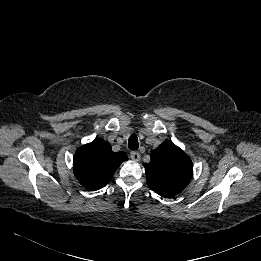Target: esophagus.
Returning a JSON list of instances; mask_svg holds the SVG:
<instances>
[{
  "instance_id": "1",
  "label": "esophagus",
  "mask_w": 261,
  "mask_h": 261,
  "mask_svg": "<svg viewBox=\"0 0 261 261\" xmlns=\"http://www.w3.org/2000/svg\"><path fill=\"white\" fill-rule=\"evenodd\" d=\"M130 158L134 161H139L140 160V153L137 152V151H131Z\"/></svg>"
}]
</instances>
